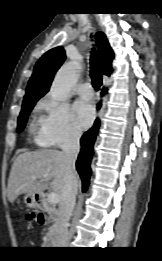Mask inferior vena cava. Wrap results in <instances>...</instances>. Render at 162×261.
Wrapping results in <instances>:
<instances>
[{"label":"inferior vena cava","instance_id":"1","mask_svg":"<svg viewBox=\"0 0 162 261\" xmlns=\"http://www.w3.org/2000/svg\"><path fill=\"white\" fill-rule=\"evenodd\" d=\"M81 132H73L61 146L67 166L66 183L61 197L58 212L59 218V247H67L69 243V220L75 206L78 186L75 180V162L80 151Z\"/></svg>","mask_w":162,"mask_h":261}]
</instances>
